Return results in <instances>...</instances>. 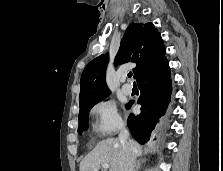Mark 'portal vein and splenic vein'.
Listing matches in <instances>:
<instances>
[{"label":"portal vein and splenic vein","mask_w":223,"mask_h":171,"mask_svg":"<svg viewBox=\"0 0 223 171\" xmlns=\"http://www.w3.org/2000/svg\"><path fill=\"white\" fill-rule=\"evenodd\" d=\"M102 168L108 169L109 168V164H102ZM94 171H98V169H95Z\"/></svg>","instance_id":"obj_1"}]
</instances>
